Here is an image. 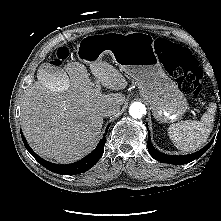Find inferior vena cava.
I'll use <instances>...</instances> for the list:
<instances>
[{
    "label": "inferior vena cava",
    "instance_id": "inferior-vena-cava-1",
    "mask_svg": "<svg viewBox=\"0 0 221 221\" xmlns=\"http://www.w3.org/2000/svg\"><path fill=\"white\" fill-rule=\"evenodd\" d=\"M119 110H120V105L117 104L108 105L102 109V114L104 117H110L118 113Z\"/></svg>",
    "mask_w": 221,
    "mask_h": 221
}]
</instances>
